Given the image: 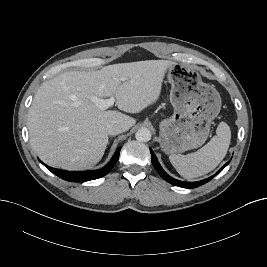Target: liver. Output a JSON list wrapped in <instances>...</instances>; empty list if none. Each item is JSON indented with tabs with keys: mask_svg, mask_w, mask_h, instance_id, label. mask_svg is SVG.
I'll return each mask as SVG.
<instances>
[{
	"mask_svg": "<svg viewBox=\"0 0 267 267\" xmlns=\"http://www.w3.org/2000/svg\"><path fill=\"white\" fill-rule=\"evenodd\" d=\"M172 64L119 63L92 72H64L44 82L28 112L32 149L52 167L80 170L97 164L108 144L106 126L119 123L127 131L136 120L119 111L101 110L92 98L113 96L121 111L139 113L159 98Z\"/></svg>",
	"mask_w": 267,
	"mask_h": 267,
	"instance_id": "obj_1",
	"label": "liver"
}]
</instances>
